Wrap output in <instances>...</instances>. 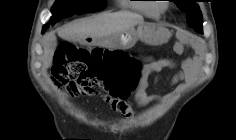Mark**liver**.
Instances as JSON below:
<instances>
[{
    "mask_svg": "<svg viewBox=\"0 0 236 140\" xmlns=\"http://www.w3.org/2000/svg\"><path fill=\"white\" fill-rule=\"evenodd\" d=\"M143 23L142 16L129 12L102 13L93 17L75 20L58 30L59 37L85 43L86 39L97 41L123 33L135 25ZM43 69H48L53 61L57 40L54 33H48L42 40Z\"/></svg>",
    "mask_w": 236,
    "mask_h": 140,
    "instance_id": "1",
    "label": "liver"
}]
</instances>
